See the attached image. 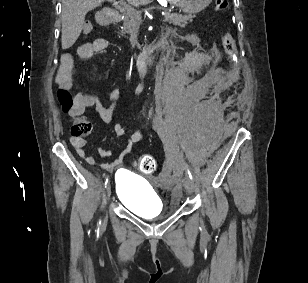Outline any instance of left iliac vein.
<instances>
[{"label":"left iliac vein","instance_id":"left-iliac-vein-1","mask_svg":"<svg viewBox=\"0 0 308 283\" xmlns=\"http://www.w3.org/2000/svg\"><path fill=\"white\" fill-rule=\"evenodd\" d=\"M183 186L187 193L192 194L194 192V183L188 176L183 179Z\"/></svg>","mask_w":308,"mask_h":283}]
</instances>
